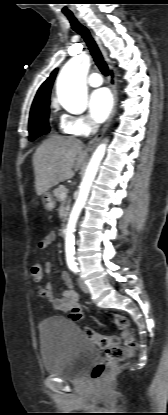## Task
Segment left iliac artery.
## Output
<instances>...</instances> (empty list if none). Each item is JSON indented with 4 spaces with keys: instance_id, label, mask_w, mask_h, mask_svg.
<instances>
[{
    "instance_id": "left-iliac-artery-1",
    "label": "left iliac artery",
    "mask_w": 168,
    "mask_h": 415,
    "mask_svg": "<svg viewBox=\"0 0 168 415\" xmlns=\"http://www.w3.org/2000/svg\"><path fill=\"white\" fill-rule=\"evenodd\" d=\"M71 270H72L74 273H78V272H79V269H78V267H77V266H72V267H71Z\"/></svg>"
}]
</instances>
